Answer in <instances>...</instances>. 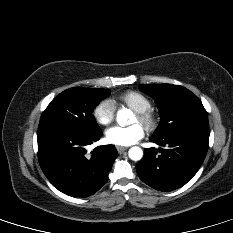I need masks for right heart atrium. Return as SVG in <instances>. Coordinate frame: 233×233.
<instances>
[{"mask_svg":"<svg viewBox=\"0 0 233 233\" xmlns=\"http://www.w3.org/2000/svg\"><path fill=\"white\" fill-rule=\"evenodd\" d=\"M93 117L95 121L103 126L109 125L115 116V106L111 99L99 101L93 108Z\"/></svg>","mask_w":233,"mask_h":233,"instance_id":"obj_1","label":"right heart atrium"}]
</instances>
